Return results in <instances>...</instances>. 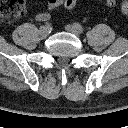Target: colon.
<instances>
[{
  "label": "colon",
  "mask_w": 128,
  "mask_h": 128,
  "mask_svg": "<svg viewBox=\"0 0 128 128\" xmlns=\"http://www.w3.org/2000/svg\"><path fill=\"white\" fill-rule=\"evenodd\" d=\"M105 6L113 7L116 0H100ZM77 0H65L64 7L72 10ZM121 10L128 16V0H123ZM25 12V0H0V20L11 23L21 17Z\"/></svg>",
  "instance_id": "colon-1"
}]
</instances>
